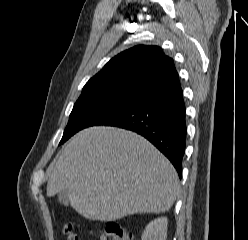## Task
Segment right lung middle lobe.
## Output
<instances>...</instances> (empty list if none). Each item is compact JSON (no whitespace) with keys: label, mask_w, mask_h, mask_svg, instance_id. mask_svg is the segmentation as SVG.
Listing matches in <instances>:
<instances>
[{"label":"right lung middle lobe","mask_w":248,"mask_h":240,"mask_svg":"<svg viewBox=\"0 0 248 240\" xmlns=\"http://www.w3.org/2000/svg\"><path fill=\"white\" fill-rule=\"evenodd\" d=\"M139 100L111 89L83 90L74 104L60 144L79 130L95 125L101 119Z\"/></svg>","instance_id":"right-lung-middle-lobe-1"}]
</instances>
